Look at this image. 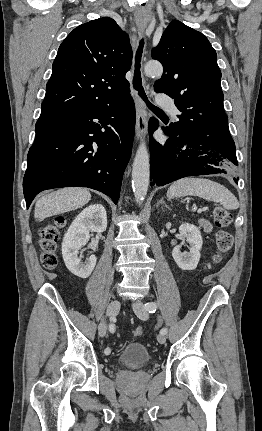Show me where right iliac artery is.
<instances>
[{
    "label": "right iliac artery",
    "instance_id": "1",
    "mask_svg": "<svg viewBox=\"0 0 262 431\" xmlns=\"http://www.w3.org/2000/svg\"><path fill=\"white\" fill-rule=\"evenodd\" d=\"M111 332L113 331L112 328L110 327ZM105 354H110L111 353V349L110 348H106L105 349Z\"/></svg>",
    "mask_w": 262,
    "mask_h": 431
}]
</instances>
